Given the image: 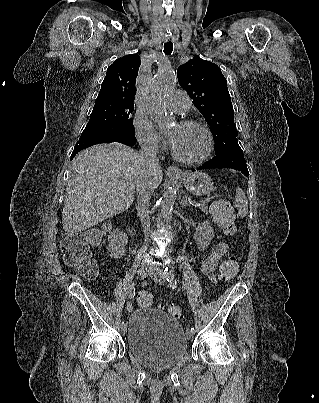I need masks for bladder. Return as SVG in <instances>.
I'll list each match as a JSON object with an SVG mask.
<instances>
[{
    "mask_svg": "<svg viewBox=\"0 0 319 403\" xmlns=\"http://www.w3.org/2000/svg\"><path fill=\"white\" fill-rule=\"evenodd\" d=\"M128 352L150 369L164 370L187 356V334L167 313L141 308L131 313L126 331Z\"/></svg>",
    "mask_w": 319,
    "mask_h": 403,
    "instance_id": "bladder-1",
    "label": "bladder"
}]
</instances>
